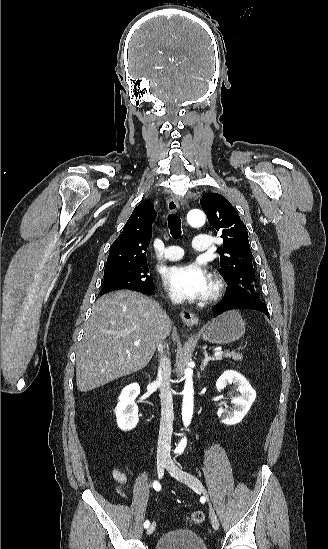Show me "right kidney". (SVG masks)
<instances>
[{
    "instance_id": "obj_1",
    "label": "right kidney",
    "mask_w": 328,
    "mask_h": 549,
    "mask_svg": "<svg viewBox=\"0 0 328 549\" xmlns=\"http://www.w3.org/2000/svg\"><path fill=\"white\" fill-rule=\"evenodd\" d=\"M140 393L138 383H131L121 391L119 403L114 411L117 419V425L121 431H131L135 429L138 419V407L135 403L136 397Z\"/></svg>"
}]
</instances>
